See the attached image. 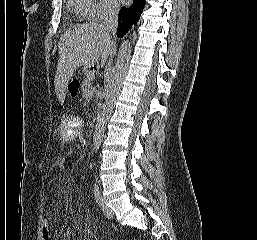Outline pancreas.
Masks as SVG:
<instances>
[{
	"mask_svg": "<svg viewBox=\"0 0 257 240\" xmlns=\"http://www.w3.org/2000/svg\"><path fill=\"white\" fill-rule=\"evenodd\" d=\"M87 73V78L85 79V81L83 82V85H82V95L83 97L87 98L89 95H88V91L90 90L91 88V83H90V72H86Z\"/></svg>",
	"mask_w": 257,
	"mask_h": 240,
	"instance_id": "cf45deb5",
	"label": "pancreas"
}]
</instances>
